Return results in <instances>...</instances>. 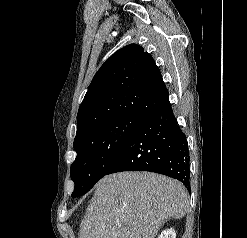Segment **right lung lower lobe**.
Listing matches in <instances>:
<instances>
[{
    "instance_id": "obj_1",
    "label": "right lung lower lobe",
    "mask_w": 247,
    "mask_h": 238,
    "mask_svg": "<svg viewBox=\"0 0 247 238\" xmlns=\"http://www.w3.org/2000/svg\"><path fill=\"white\" fill-rule=\"evenodd\" d=\"M121 171L160 173L190 188L186 137L177 124L170 103L144 119L106 175Z\"/></svg>"
}]
</instances>
